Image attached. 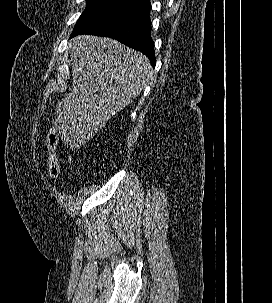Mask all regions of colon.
I'll use <instances>...</instances> for the list:
<instances>
[{
  "mask_svg": "<svg viewBox=\"0 0 272 303\" xmlns=\"http://www.w3.org/2000/svg\"><path fill=\"white\" fill-rule=\"evenodd\" d=\"M59 134L51 128L47 134V160L46 172L50 178H57L60 174V161L58 158Z\"/></svg>",
  "mask_w": 272,
  "mask_h": 303,
  "instance_id": "colon-1",
  "label": "colon"
}]
</instances>
